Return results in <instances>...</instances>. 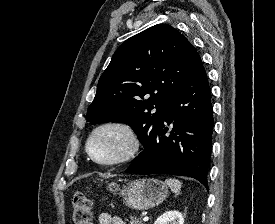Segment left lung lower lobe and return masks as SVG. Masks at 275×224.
Instances as JSON below:
<instances>
[{
  "label": "left lung lower lobe",
  "instance_id": "obj_1",
  "mask_svg": "<svg viewBox=\"0 0 275 224\" xmlns=\"http://www.w3.org/2000/svg\"><path fill=\"white\" fill-rule=\"evenodd\" d=\"M165 122L173 124L169 136ZM213 125L210 87L202 66L171 98L162 122L125 172L189 176L208 189Z\"/></svg>",
  "mask_w": 275,
  "mask_h": 224
}]
</instances>
